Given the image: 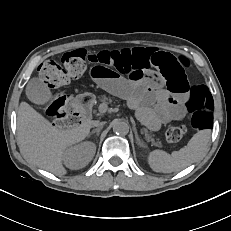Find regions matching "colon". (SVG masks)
I'll return each instance as SVG.
<instances>
[{"mask_svg":"<svg viewBox=\"0 0 231 231\" xmlns=\"http://www.w3.org/2000/svg\"><path fill=\"white\" fill-rule=\"evenodd\" d=\"M88 64L113 68L130 77L143 78L152 71L158 73L166 82L170 92L185 97V107L191 114V125L197 130L210 128L213 123V99L205 85H190L187 77L189 61L155 48H132L112 51L87 52L76 49L65 53L61 64L47 60L39 67L42 81L49 87L58 88L71 79L81 76ZM47 115L57 126L75 124L79 116L72 100L66 96L56 97L47 107ZM187 132L185 124L170 127L166 140L175 144L182 140Z\"/></svg>","mask_w":231,"mask_h":231,"instance_id":"5ec220e1","label":"colon"}]
</instances>
